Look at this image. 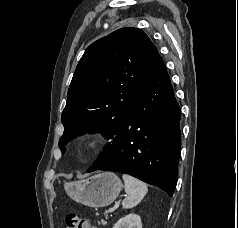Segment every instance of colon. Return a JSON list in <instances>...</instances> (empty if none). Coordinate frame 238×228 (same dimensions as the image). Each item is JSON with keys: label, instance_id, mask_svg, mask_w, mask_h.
Segmentation results:
<instances>
[{"label": "colon", "instance_id": "colon-1", "mask_svg": "<svg viewBox=\"0 0 238 228\" xmlns=\"http://www.w3.org/2000/svg\"><path fill=\"white\" fill-rule=\"evenodd\" d=\"M67 228H97L89 219L75 213H69L65 217Z\"/></svg>", "mask_w": 238, "mask_h": 228}]
</instances>
